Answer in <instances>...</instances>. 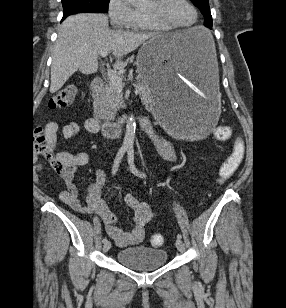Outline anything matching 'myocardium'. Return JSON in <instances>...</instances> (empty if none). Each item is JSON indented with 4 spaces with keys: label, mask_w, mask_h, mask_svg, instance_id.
Returning a JSON list of instances; mask_svg holds the SVG:
<instances>
[{
    "label": "myocardium",
    "mask_w": 286,
    "mask_h": 308,
    "mask_svg": "<svg viewBox=\"0 0 286 308\" xmlns=\"http://www.w3.org/2000/svg\"><path fill=\"white\" fill-rule=\"evenodd\" d=\"M184 1L193 10V12L195 14V19L190 24H187V25L173 24L170 21H168L167 19H165L161 14H156V13H152V12H145V15L147 16V18L151 22H153L154 24H156L157 26H160V27H164V28H168V29H189V28H192L198 23L199 13H198L196 7L194 6V4L191 2V0H184ZM154 2L157 5H162L166 2V0H154Z\"/></svg>",
    "instance_id": "f54148a6"
}]
</instances>
